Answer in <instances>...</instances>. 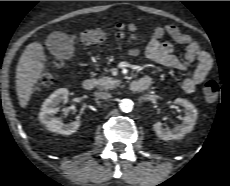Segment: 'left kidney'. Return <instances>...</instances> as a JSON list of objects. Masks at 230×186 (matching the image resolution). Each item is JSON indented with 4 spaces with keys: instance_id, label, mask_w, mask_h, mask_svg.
I'll return each instance as SVG.
<instances>
[{
    "instance_id": "1",
    "label": "left kidney",
    "mask_w": 230,
    "mask_h": 186,
    "mask_svg": "<svg viewBox=\"0 0 230 186\" xmlns=\"http://www.w3.org/2000/svg\"><path fill=\"white\" fill-rule=\"evenodd\" d=\"M175 103L184 107L185 116L182 118V124L177 125L173 129H165L162 126V123L156 122L153 125V129L155 130L157 136L162 140H172L179 139L183 137L185 134L192 131L194 128L198 113L195 106L190 103L188 100L183 98H177Z\"/></svg>"
}]
</instances>
